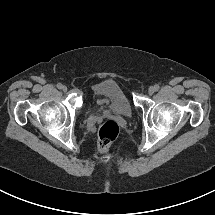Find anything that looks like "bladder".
<instances>
[{"label": "bladder", "instance_id": "obj_1", "mask_svg": "<svg viewBox=\"0 0 215 215\" xmlns=\"http://www.w3.org/2000/svg\"><path fill=\"white\" fill-rule=\"evenodd\" d=\"M92 98H104L110 103V110L124 117H130L133 106L122 87L112 79L98 82L92 88Z\"/></svg>", "mask_w": 215, "mask_h": 215}]
</instances>
